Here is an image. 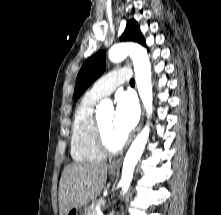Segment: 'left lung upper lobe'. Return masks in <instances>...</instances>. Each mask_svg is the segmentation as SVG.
I'll list each match as a JSON object with an SVG mask.
<instances>
[{
	"instance_id": "5c2ea615",
	"label": "left lung upper lobe",
	"mask_w": 221,
	"mask_h": 215,
	"mask_svg": "<svg viewBox=\"0 0 221 215\" xmlns=\"http://www.w3.org/2000/svg\"><path fill=\"white\" fill-rule=\"evenodd\" d=\"M121 40H128L145 45V39L139 29L137 22L132 19L127 23L126 29ZM105 69V52L99 51L92 57L88 58L82 65L75 85L74 100L80 98L84 91L98 78L101 76Z\"/></svg>"
}]
</instances>
